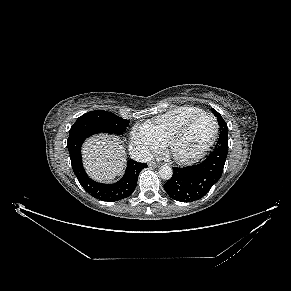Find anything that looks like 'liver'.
I'll list each match as a JSON object with an SVG mask.
<instances>
[{
  "label": "liver",
  "mask_w": 291,
  "mask_h": 291,
  "mask_svg": "<svg viewBox=\"0 0 291 291\" xmlns=\"http://www.w3.org/2000/svg\"><path fill=\"white\" fill-rule=\"evenodd\" d=\"M83 157L89 175L100 181L114 179L124 165V151L117 137L90 138L83 146Z\"/></svg>",
  "instance_id": "liver-1"
}]
</instances>
